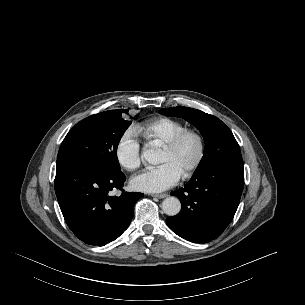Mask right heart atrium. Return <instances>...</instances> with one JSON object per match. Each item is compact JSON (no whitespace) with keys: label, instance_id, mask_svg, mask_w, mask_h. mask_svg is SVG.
<instances>
[{"label":"right heart atrium","instance_id":"d8ad5b80","mask_svg":"<svg viewBox=\"0 0 305 305\" xmlns=\"http://www.w3.org/2000/svg\"><path fill=\"white\" fill-rule=\"evenodd\" d=\"M118 164L128 171L137 169L142 162V148L134 130L125 131L115 146Z\"/></svg>","mask_w":305,"mask_h":305}]
</instances>
